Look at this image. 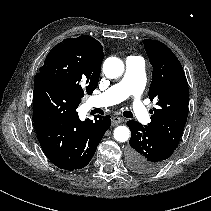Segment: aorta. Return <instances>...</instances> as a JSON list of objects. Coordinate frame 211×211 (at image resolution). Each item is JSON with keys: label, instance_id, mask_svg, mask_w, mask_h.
<instances>
[{"label": "aorta", "instance_id": "1", "mask_svg": "<svg viewBox=\"0 0 211 211\" xmlns=\"http://www.w3.org/2000/svg\"><path fill=\"white\" fill-rule=\"evenodd\" d=\"M103 72L107 78H117L124 72V63L117 57H109L104 61ZM113 135L116 141L125 142L130 137V130L127 126H117Z\"/></svg>", "mask_w": 211, "mask_h": 211}]
</instances>
